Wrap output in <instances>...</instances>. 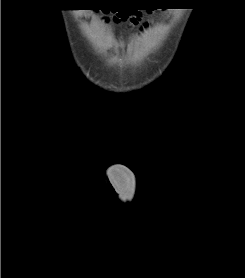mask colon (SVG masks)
I'll list each match as a JSON object with an SVG mask.
<instances>
[{
  "label": "colon",
  "mask_w": 245,
  "mask_h": 278,
  "mask_svg": "<svg viewBox=\"0 0 245 278\" xmlns=\"http://www.w3.org/2000/svg\"><path fill=\"white\" fill-rule=\"evenodd\" d=\"M121 20H128L130 24L136 25L140 22V15L139 14H133L129 17L127 16H120L119 18H116L115 21H121Z\"/></svg>",
  "instance_id": "1"
}]
</instances>
